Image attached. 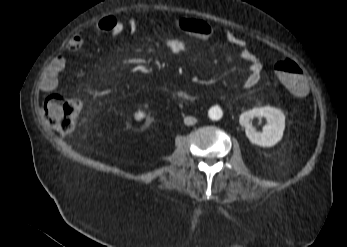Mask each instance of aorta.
<instances>
[{
  "label": "aorta",
  "mask_w": 347,
  "mask_h": 247,
  "mask_svg": "<svg viewBox=\"0 0 347 247\" xmlns=\"http://www.w3.org/2000/svg\"><path fill=\"white\" fill-rule=\"evenodd\" d=\"M209 118L212 120H220L222 118V110L220 108H211L209 110Z\"/></svg>",
  "instance_id": "762f6f07"
}]
</instances>
